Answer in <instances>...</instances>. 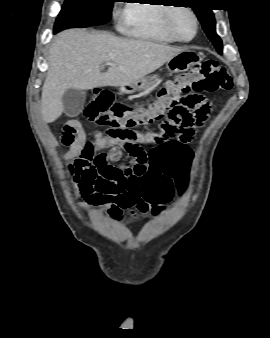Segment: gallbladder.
<instances>
[{
	"label": "gallbladder",
	"mask_w": 270,
	"mask_h": 338,
	"mask_svg": "<svg viewBox=\"0 0 270 338\" xmlns=\"http://www.w3.org/2000/svg\"><path fill=\"white\" fill-rule=\"evenodd\" d=\"M86 93L83 90L67 89L62 96L64 112L69 117L79 115L85 104Z\"/></svg>",
	"instance_id": "gallbladder-1"
}]
</instances>
